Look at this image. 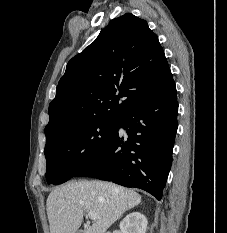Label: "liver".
I'll use <instances>...</instances> for the list:
<instances>
[{"label":"liver","instance_id":"1","mask_svg":"<svg viewBox=\"0 0 227 233\" xmlns=\"http://www.w3.org/2000/svg\"><path fill=\"white\" fill-rule=\"evenodd\" d=\"M141 196L121 186L102 181L71 182L53 190L47 198L50 233H76L84 212L99 217L84 224L83 233H105L127 210L137 206Z\"/></svg>","mask_w":227,"mask_h":233}]
</instances>
